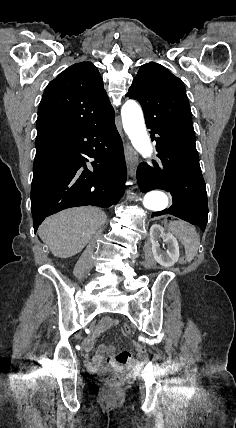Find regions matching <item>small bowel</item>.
Instances as JSON below:
<instances>
[{
    "label": "small bowel",
    "mask_w": 236,
    "mask_h": 428,
    "mask_svg": "<svg viewBox=\"0 0 236 428\" xmlns=\"http://www.w3.org/2000/svg\"><path fill=\"white\" fill-rule=\"evenodd\" d=\"M118 320L113 317H105L94 329L91 330L89 338L84 343V350L91 351L94 346V340L105 330L117 325ZM136 357H132L128 352L116 354L115 348L112 345H100L96 355L87 362V366L97 371L101 368L102 363L106 361L110 366L127 369L139 368L146 359V349L139 343H133Z\"/></svg>",
    "instance_id": "c3829d8e"
}]
</instances>
